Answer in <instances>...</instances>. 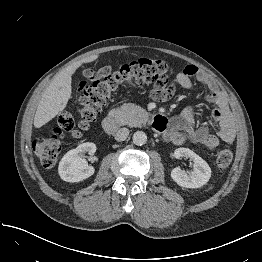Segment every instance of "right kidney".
<instances>
[{
  "label": "right kidney",
  "instance_id": "right-kidney-1",
  "mask_svg": "<svg viewBox=\"0 0 262 262\" xmlns=\"http://www.w3.org/2000/svg\"><path fill=\"white\" fill-rule=\"evenodd\" d=\"M95 151L96 145L86 142L67 152L58 166L61 179L67 182H79L93 175L94 168L88 165L83 155L93 154Z\"/></svg>",
  "mask_w": 262,
  "mask_h": 262
}]
</instances>
